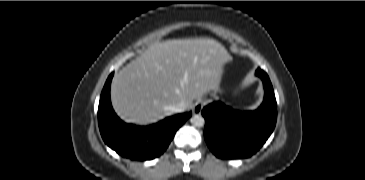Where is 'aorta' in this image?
<instances>
[{"label":"aorta","mask_w":365,"mask_h":180,"mask_svg":"<svg viewBox=\"0 0 365 180\" xmlns=\"http://www.w3.org/2000/svg\"><path fill=\"white\" fill-rule=\"evenodd\" d=\"M190 122L192 123V125L196 126V127H202L205 123L204 117L201 115H194L192 116V118L190 119Z\"/></svg>","instance_id":"1"}]
</instances>
